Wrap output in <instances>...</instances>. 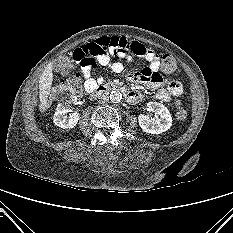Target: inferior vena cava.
<instances>
[{"label": "inferior vena cava", "mask_w": 233, "mask_h": 233, "mask_svg": "<svg viewBox=\"0 0 233 233\" xmlns=\"http://www.w3.org/2000/svg\"><path fill=\"white\" fill-rule=\"evenodd\" d=\"M97 99H98L97 101L99 104H105L109 101V97L101 93L97 95Z\"/></svg>", "instance_id": "obj_1"}]
</instances>
